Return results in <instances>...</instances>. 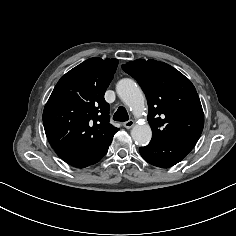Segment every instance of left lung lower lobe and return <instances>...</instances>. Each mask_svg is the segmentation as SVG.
Wrapping results in <instances>:
<instances>
[{
	"mask_svg": "<svg viewBox=\"0 0 236 236\" xmlns=\"http://www.w3.org/2000/svg\"><path fill=\"white\" fill-rule=\"evenodd\" d=\"M195 144L185 141L150 142L148 146L140 147L139 152L148 163L168 168L180 162Z\"/></svg>",
	"mask_w": 236,
	"mask_h": 236,
	"instance_id": "0a47b994",
	"label": "left lung lower lobe"
}]
</instances>
